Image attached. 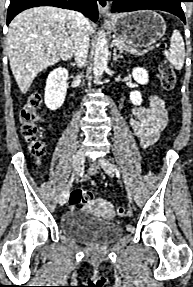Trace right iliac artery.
I'll use <instances>...</instances> for the list:
<instances>
[{"label": "right iliac artery", "instance_id": "obj_1", "mask_svg": "<svg viewBox=\"0 0 193 287\" xmlns=\"http://www.w3.org/2000/svg\"><path fill=\"white\" fill-rule=\"evenodd\" d=\"M80 169H81V168H80ZM80 169L77 170V174H78V172L80 171Z\"/></svg>", "mask_w": 193, "mask_h": 287}]
</instances>
